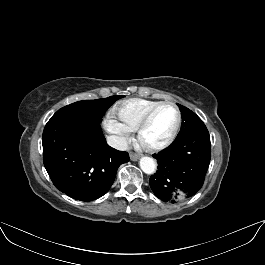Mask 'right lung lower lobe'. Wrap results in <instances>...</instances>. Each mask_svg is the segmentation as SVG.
Returning a JSON list of instances; mask_svg holds the SVG:
<instances>
[{
    "instance_id": "obj_1",
    "label": "right lung lower lobe",
    "mask_w": 265,
    "mask_h": 265,
    "mask_svg": "<svg viewBox=\"0 0 265 265\" xmlns=\"http://www.w3.org/2000/svg\"><path fill=\"white\" fill-rule=\"evenodd\" d=\"M44 166L55 187L81 201L103 196L129 154L110 147L100 123L76 117H52L43 135Z\"/></svg>"
}]
</instances>
